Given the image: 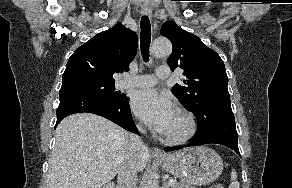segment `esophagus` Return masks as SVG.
Listing matches in <instances>:
<instances>
[{
  "label": "esophagus",
  "instance_id": "obj_1",
  "mask_svg": "<svg viewBox=\"0 0 292 188\" xmlns=\"http://www.w3.org/2000/svg\"><path fill=\"white\" fill-rule=\"evenodd\" d=\"M141 12H142V14L143 15H147V16H149V17H151L152 16V10H151V8L149 7V5H147V4H144L143 6H142V10H141ZM151 155L152 156H154V157H159V158H163V157H165V155L163 154V152L158 148V147H153L152 149H151Z\"/></svg>",
  "mask_w": 292,
  "mask_h": 188
}]
</instances>
